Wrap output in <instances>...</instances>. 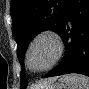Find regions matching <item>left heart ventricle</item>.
Segmentation results:
<instances>
[{
    "mask_svg": "<svg viewBox=\"0 0 89 89\" xmlns=\"http://www.w3.org/2000/svg\"><path fill=\"white\" fill-rule=\"evenodd\" d=\"M56 54V43L50 38H42L35 43L30 52V65L33 69L48 66Z\"/></svg>",
    "mask_w": 89,
    "mask_h": 89,
    "instance_id": "1",
    "label": "left heart ventricle"
}]
</instances>
